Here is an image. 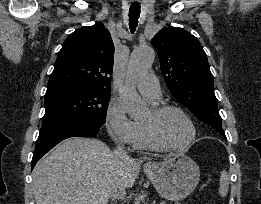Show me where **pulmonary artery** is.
I'll return each instance as SVG.
<instances>
[{
  "mask_svg": "<svg viewBox=\"0 0 261 204\" xmlns=\"http://www.w3.org/2000/svg\"><path fill=\"white\" fill-rule=\"evenodd\" d=\"M141 94L150 102H159L161 92L159 83L153 74H146L137 82Z\"/></svg>",
  "mask_w": 261,
  "mask_h": 204,
  "instance_id": "obj_1",
  "label": "pulmonary artery"
}]
</instances>
